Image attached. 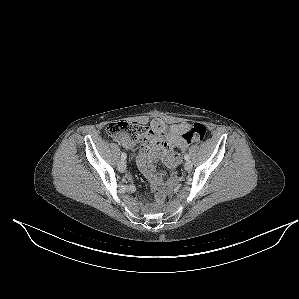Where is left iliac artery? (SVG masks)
<instances>
[{"instance_id": "obj_1", "label": "left iliac artery", "mask_w": 299, "mask_h": 299, "mask_svg": "<svg viewBox=\"0 0 299 299\" xmlns=\"http://www.w3.org/2000/svg\"><path fill=\"white\" fill-rule=\"evenodd\" d=\"M184 159L188 161L190 159V156L188 154H185Z\"/></svg>"}]
</instances>
